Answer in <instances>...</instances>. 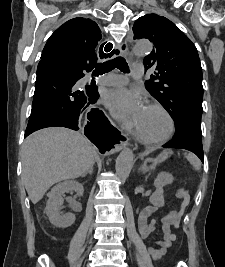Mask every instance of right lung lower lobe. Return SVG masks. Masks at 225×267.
Wrapping results in <instances>:
<instances>
[{
  "label": "right lung lower lobe",
  "instance_id": "right-lung-lower-lobe-1",
  "mask_svg": "<svg viewBox=\"0 0 225 267\" xmlns=\"http://www.w3.org/2000/svg\"><path fill=\"white\" fill-rule=\"evenodd\" d=\"M84 71L87 70L60 58H41L24 137L46 127L79 129L80 111L93 105L99 96L97 87L78 85L85 76ZM93 88L94 91L91 90ZM88 118L91 122L85 127V135L104 153L118 140L116 135L119 133L97 109L93 108Z\"/></svg>",
  "mask_w": 225,
  "mask_h": 267
}]
</instances>
